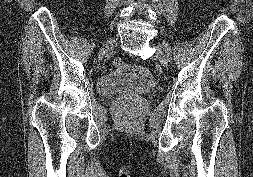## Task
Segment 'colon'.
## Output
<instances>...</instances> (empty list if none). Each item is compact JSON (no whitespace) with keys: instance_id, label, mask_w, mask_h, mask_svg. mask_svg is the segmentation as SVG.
<instances>
[{"instance_id":"5ec220e1","label":"colon","mask_w":253,"mask_h":177,"mask_svg":"<svg viewBox=\"0 0 253 177\" xmlns=\"http://www.w3.org/2000/svg\"><path fill=\"white\" fill-rule=\"evenodd\" d=\"M122 64V61L120 58H114L113 59V65L114 66H120Z\"/></svg>"}]
</instances>
